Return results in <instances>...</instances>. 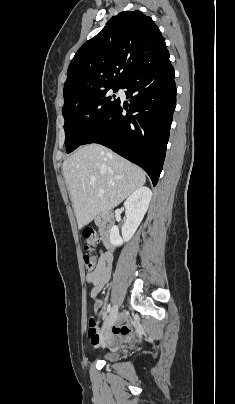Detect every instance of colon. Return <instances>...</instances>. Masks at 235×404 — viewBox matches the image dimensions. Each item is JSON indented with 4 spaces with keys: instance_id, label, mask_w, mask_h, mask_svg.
<instances>
[{
    "instance_id": "colon-1",
    "label": "colon",
    "mask_w": 235,
    "mask_h": 404,
    "mask_svg": "<svg viewBox=\"0 0 235 404\" xmlns=\"http://www.w3.org/2000/svg\"><path fill=\"white\" fill-rule=\"evenodd\" d=\"M84 237L86 239L87 245L85 246L83 260L86 270L91 271L95 268L96 265V256L92 252V246H94L99 242V236L94 229L89 228L84 231ZM96 325H97L96 317L92 316L89 320V328L95 330Z\"/></svg>"
}]
</instances>
